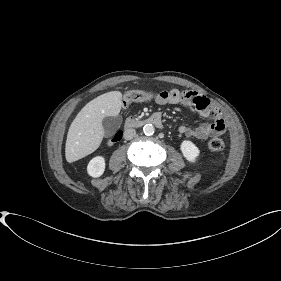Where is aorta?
I'll use <instances>...</instances> for the list:
<instances>
[{
	"label": "aorta",
	"instance_id": "aorta-1",
	"mask_svg": "<svg viewBox=\"0 0 281 281\" xmlns=\"http://www.w3.org/2000/svg\"><path fill=\"white\" fill-rule=\"evenodd\" d=\"M143 132L145 135L150 136L154 134L155 128L152 124H146L143 127Z\"/></svg>",
	"mask_w": 281,
	"mask_h": 281
}]
</instances>
